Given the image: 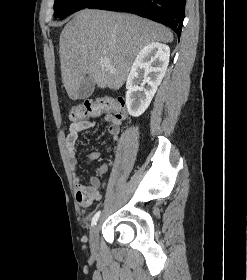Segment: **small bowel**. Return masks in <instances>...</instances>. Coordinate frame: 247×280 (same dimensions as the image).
<instances>
[{
    "instance_id": "c3829d8e",
    "label": "small bowel",
    "mask_w": 247,
    "mask_h": 280,
    "mask_svg": "<svg viewBox=\"0 0 247 280\" xmlns=\"http://www.w3.org/2000/svg\"><path fill=\"white\" fill-rule=\"evenodd\" d=\"M104 119L108 123V133L111 139L116 141L120 134L121 119L113 115H105ZM94 126L95 122L90 120L73 121L70 124L69 132L66 136V148L72 170H75L78 166V135L80 132L91 129ZM100 156L101 154L98 151H91L88 153L87 159L89 161H97L100 159ZM107 171L108 166L106 164L101 165L97 171V175L90 177L89 185L87 186L82 184L78 177L74 178L76 200L82 207L89 208L100 199L101 189L103 187L101 179L106 175Z\"/></svg>"
}]
</instances>
